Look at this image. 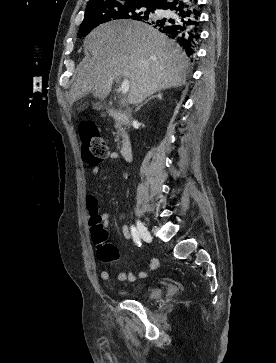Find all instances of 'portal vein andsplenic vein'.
<instances>
[{
    "label": "portal vein and splenic vein",
    "mask_w": 276,
    "mask_h": 363,
    "mask_svg": "<svg viewBox=\"0 0 276 363\" xmlns=\"http://www.w3.org/2000/svg\"><path fill=\"white\" fill-rule=\"evenodd\" d=\"M129 87H130L129 81L125 79L120 87L121 93L126 94L129 91Z\"/></svg>",
    "instance_id": "1"
}]
</instances>
